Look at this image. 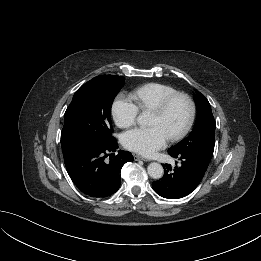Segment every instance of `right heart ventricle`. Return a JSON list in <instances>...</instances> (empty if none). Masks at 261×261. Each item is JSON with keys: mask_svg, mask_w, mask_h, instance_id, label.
Segmentation results:
<instances>
[{"mask_svg": "<svg viewBox=\"0 0 261 261\" xmlns=\"http://www.w3.org/2000/svg\"><path fill=\"white\" fill-rule=\"evenodd\" d=\"M178 93V91L167 84L148 83L133 92L137 105L141 110H154L161 105L168 97Z\"/></svg>", "mask_w": 261, "mask_h": 261, "instance_id": "e07e8e85", "label": "right heart ventricle"}]
</instances>
